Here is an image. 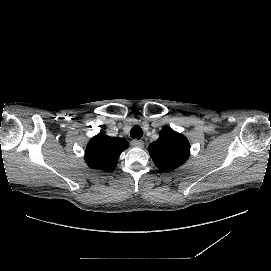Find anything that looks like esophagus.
<instances>
[{
  "label": "esophagus",
  "instance_id": "34e87169",
  "mask_svg": "<svg viewBox=\"0 0 271 271\" xmlns=\"http://www.w3.org/2000/svg\"><path fill=\"white\" fill-rule=\"evenodd\" d=\"M130 144H131V146L132 147H137V148H143L144 147V142L143 141H141V140H132L131 142H130Z\"/></svg>",
  "mask_w": 271,
  "mask_h": 271
}]
</instances>
